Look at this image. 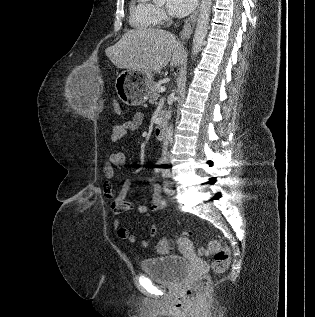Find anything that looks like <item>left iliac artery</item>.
I'll use <instances>...</instances> for the list:
<instances>
[{
	"label": "left iliac artery",
	"instance_id": "obj_1",
	"mask_svg": "<svg viewBox=\"0 0 315 317\" xmlns=\"http://www.w3.org/2000/svg\"><path fill=\"white\" fill-rule=\"evenodd\" d=\"M165 191H166V192L168 191V187H167V186H165Z\"/></svg>",
	"mask_w": 315,
	"mask_h": 317
}]
</instances>
